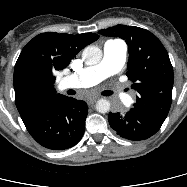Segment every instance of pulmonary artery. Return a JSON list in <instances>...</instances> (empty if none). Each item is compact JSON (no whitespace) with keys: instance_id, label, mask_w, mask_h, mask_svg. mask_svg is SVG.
I'll return each mask as SVG.
<instances>
[{"instance_id":"e3ab8cb5","label":"pulmonary artery","mask_w":187,"mask_h":187,"mask_svg":"<svg viewBox=\"0 0 187 187\" xmlns=\"http://www.w3.org/2000/svg\"><path fill=\"white\" fill-rule=\"evenodd\" d=\"M127 46L121 40H108L103 46V58L100 63L84 68L79 73L64 78L62 88H81L93 86L105 78L117 73L126 60ZM120 97L124 94L118 93Z\"/></svg>"}]
</instances>
